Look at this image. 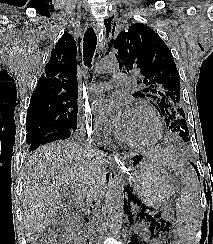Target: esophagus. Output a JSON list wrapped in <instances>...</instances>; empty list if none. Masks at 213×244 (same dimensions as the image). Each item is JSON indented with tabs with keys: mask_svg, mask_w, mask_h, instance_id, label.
I'll return each mask as SVG.
<instances>
[{
	"mask_svg": "<svg viewBox=\"0 0 213 244\" xmlns=\"http://www.w3.org/2000/svg\"><path fill=\"white\" fill-rule=\"evenodd\" d=\"M94 29L96 32L99 31V26L94 24ZM107 43H108V39L107 38H104L103 41H102V44L99 46V55H98V59H100L101 57V53H103V51L105 50L106 46H107ZM114 155L116 156L117 155V151L114 150Z\"/></svg>",
	"mask_w": 213,
	"mask_h": 244,
	"instance_id": "obj_1",
	"label": "esophagus"
}]
</instances>
